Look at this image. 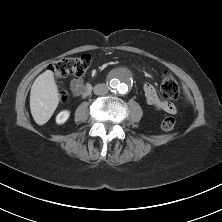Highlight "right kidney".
<instances>
[{
    "label": "right kidney",
    "instance_id": "right-kidney-1",
    "mask_svg": "<svg viewBox=\"0 0 222 222\" xmlns=\"http://www.w3.org/2000/svg\"><path fill=\"white\" fill-rule=\"evenodd\" d=\"M70 116V111L63 110L56 116V123L57 124H64Z\"/></svg>",
    "mask_w": 222,
    "mask_h": 222
}]
</instances>
